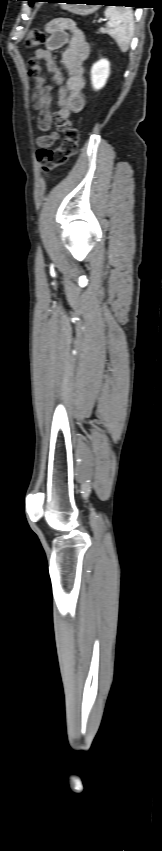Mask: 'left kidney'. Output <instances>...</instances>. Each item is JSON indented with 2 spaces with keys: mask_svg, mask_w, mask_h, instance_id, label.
<instances>
[{
  "mask_svg": "<svg viewBox=\"0 0 162 851\" xmlns=\"http://www.w3.org/2000/svg\"><path fill=\"white\" fill-rule=\"evenodd\" d=\"M110 73V63L107 59H101L93 64L91 68V83L95 90L103 88Z\"/></svg>",
  "mask_w": 162,
  "mask_h": 851,
  "instance_id": "1",
  "label": "left kidney"
}]
</instances>
